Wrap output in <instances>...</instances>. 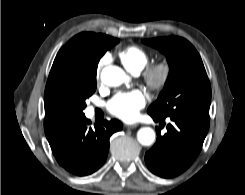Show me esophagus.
<instances>
[{
	"instance_id": "34e87169",
	"label": "esophagus",
	"mask_w": 245,
	"mask_h": 195,
	"mask_svg": "<svg viewBox=\"0 0 245 195\" xmlns=\"http://www.w3.org/2000/svg\"><path fill=\"white\" fill-rule=\"evenodd\" d=\"M137 127H138V124L126 125V128H128V129H134V128H137Z\"/></svg>"
}]
</instances>
